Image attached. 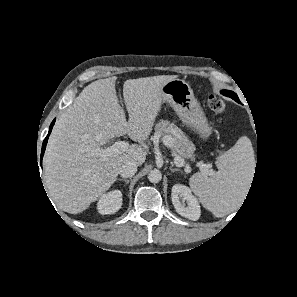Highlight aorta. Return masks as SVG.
<instances>
[{"label":"aorta","instance_id":"1","mask_svg":"<svg viewBox=\"0 0 297 297\" xmlns=\"http://www.w3.org/2000/svg\"><path fill=\"white\" fill-rule=\"evenodd\" d=\"M148 179L152 183H158L162 179V174L158 169H154L148 174Z\"/></svg>","mask_w":297,"mask_h":297}]
</instances>
